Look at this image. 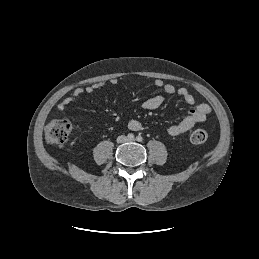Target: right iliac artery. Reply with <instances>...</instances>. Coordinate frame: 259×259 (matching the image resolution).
Returning a JSON list of instances; mask_svg holds the SVG:
<instances>
[{
  "instance_id": "obj_1",
  "label": "right iliac artery",
  "mask_w": 259,
  "mask_h": 259,
  "mask_svg": "<svg viewBox=\"0 0 259 259\" xmlns=\"http://www.w3.org/2000/svg\"><path fill=\"white\" fill-rule=\"evenodd\" d=\"M127 138H128V139H134V134L129 133V134L127 135Z\"/></svg>"
}]
</instances>
